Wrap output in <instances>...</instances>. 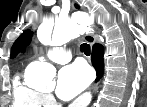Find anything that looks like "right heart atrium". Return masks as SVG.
<instances>
[{"label":"right heart atrium","instance_id":"obj_1","mask_svg":"<svg viewBox=\"0 0 147 107\" xmlns=\"http://www.w3.org/2000/svg\"><path fill=\"white\" fill-rule=\"evenodd\" d=\"M44 100L46 104H49L52 102V97L49 94H44Z\"/></svg>","mask_w":147,"mask_h":107}]
</instances>
